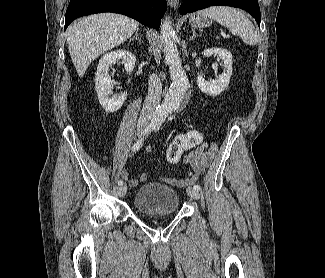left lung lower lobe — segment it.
I'll use <instances>...</instances> for the list:
<instances>
[{"mask_svg": "<svg viewBox=\"0 0 325 278\" xmlns=\"http://www.w3.org/2000/svg\"><path fill=\"white\" fill-rule=\"evenodd\" d=\"M232 6L241 8L250 13L260 27V8L257 0H183L180 6V14L185 15L210 6Z\"/></svg>", "mask_w": 325, "mask_h": 278, "instance_id": "1", "label": "left lung lower lobe"}]
</instances>
